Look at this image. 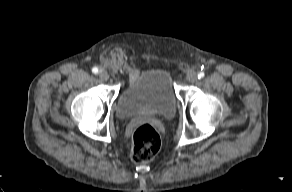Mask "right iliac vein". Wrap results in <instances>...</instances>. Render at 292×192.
Wrapping results in <instances>:
<instances>
[{
    "label": "right iliac vein",
    "instance_id": "63e3f726",
    "mask_svg": "<svg viewBox=\"0 0 292 192\" xmlns=\"http://www.w3.org/2000/svg\"><path fill=\"white\" fill-rule=\"evenodd\" d=\"M99 78L102 81H107L109 79V74L106 71H100L99 72Z\"/></svg>",
    "mask_w": 292,
    "mask_h": 192
}]
</instances>
